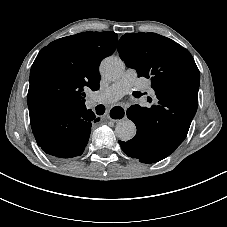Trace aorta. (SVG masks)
<instances>
[{"mask_svg":"<svg viewBox=\"0 0 227 227\" xmlns=\"http://www.w3.org/2000/svg\"><path fill=\"white\" fill-rule=\"evenodd\" d=\"M124 62L116 56H109L102 60L100 72L108 80L120 78L124 72ZM115 132L120 140L129 141L136 134V126L131 120H121L117 123Z\"/></svg>","mask_w":227,"mask_h":227,"instance_id":"obj_1","label":"aorta"}]
</instances>
